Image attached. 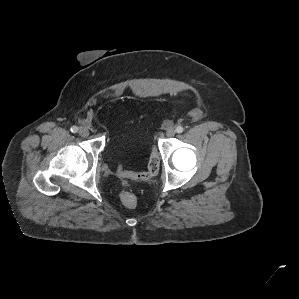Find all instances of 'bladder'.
<instances>
[{
    "label": "bladder",
    "instance_id": "bladder-1",
    "mask_svg": "<svg viewBox=\"0 0 299 299\" xmlns=\"http://www.w3.org/2000/svg\"><path fill=\"white\" fill-rule=\"evenodd\" d=\"M120 136H123L124 138L129 139L130 145H132V146H139V145H142V143H143V140H142L140 135H135V136L130 137L127 134H123L121 131L117 130L116 133H115V136L113 138H111V140L108 143V147L110 149L115 148L116 140Z\"/></svg>",
    "mask_w": 299,
    "mask_h": 299
}]
</instances>
